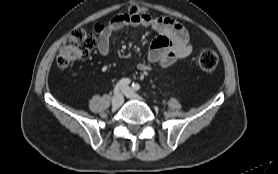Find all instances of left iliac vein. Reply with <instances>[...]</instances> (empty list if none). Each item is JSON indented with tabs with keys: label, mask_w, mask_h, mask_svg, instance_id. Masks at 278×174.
<instances>
[{
	"label": "left iliac vein",
	"mask_w": 278,
	"mask_h": 174,
	"mask_svg": "<svg viewBox=\"0 0 278 174\" xmlns=\"http://www.w3.org/2000/svg\"><path fill=\"white\" fill-rule=\"evenodd\" d=\"M123 93L124 95L129 98V99H134V100H144L141 96H139L138 94H136L131 88L129 87H125L123 89Z\"/></svg>",
	"instance_id": "4c4485c4"
}]
</instances>
